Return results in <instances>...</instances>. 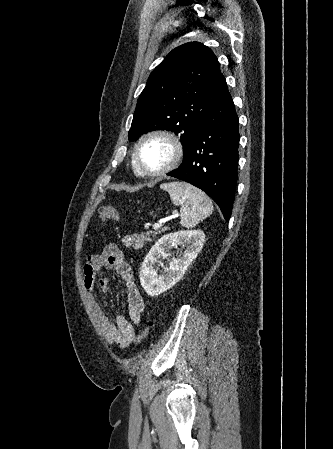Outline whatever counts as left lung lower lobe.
<instances>
[{
    "mask_svg": "<svg viewBox=\"0 0 333 449\" xmlns=\"http://www.w3.org/2000/svg\"><path fill=\"white\" fill-rule=\"evenodd\" d=\"M239 139L238 116L226 85L195 131L181 166L167 174L203 190L226 221L234 202Z\"/></svg>",
    "mask_w": 333,
    "mask_h": 449,
    "instance_id": "left-lung-lower-lobe-1",
    "label": "left lung lower lobe"
}]
</instances>
